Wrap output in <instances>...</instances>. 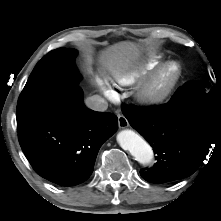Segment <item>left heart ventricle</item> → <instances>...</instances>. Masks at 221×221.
<instances>
[{
    "label": "left heart ventricle",
    "mask_w": 221,
    "mask_h": 221,
    "mask_svg": "<svg viewBox=\"0 0 221 221\" xmlns=\"http://www.w3.org/2000/svg\"><path fill=\"white\" fill-rule=\"evenodd\" d=\"M173 73H174V69L169 70V71L165 74V76H164V78H163V80H162V83H166V82L171 78V76H172Z\"/></svg>",
    "instance_id": "1"
}]
</instances>
